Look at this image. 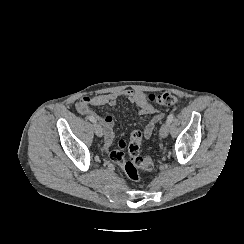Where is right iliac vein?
Wrapping results in <instances>:
<instances>
[{"label": "right iliac vein", "instance_id": "obj_1", "mask_svg": "<svg viewBox=\"0 0 244 244\" xmlns=\"http://www.w3.org/2000/svg\"><path fill=\"white\" fill-rule=\"evenodd\" d=\"M93 129H94L95 134L98 137H102L103 136V128H102V126L99 123H94Z\"/></svg>", "mask_w": 244, "mask_h": 244}]
</instances>
